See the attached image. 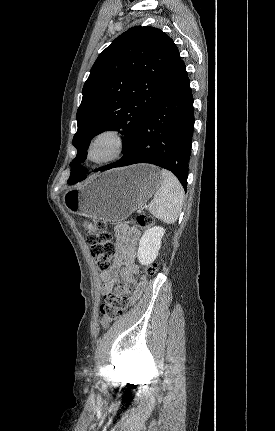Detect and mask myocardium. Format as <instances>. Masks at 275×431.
Here are the masks:
<instances>
[{"mask_svg": "<svg viewBox=\"0 0 275 431\" xmlns=\"http://www.w3.org/2000/svg\"><path fill=\"white\" fill-rule=\"evenodd\" d=\"M102 141L109 142V149L101 157L94 156L95 148ZM125 151L124 135L115 128H103L94 133L87 142L85 155L86 160L94 165H106L119 160Z\"/></svg>", "mask_w": 275, "mask_h": 431, "instance_id": "f54148a6", "label": "myocardium"}]
</instances>
